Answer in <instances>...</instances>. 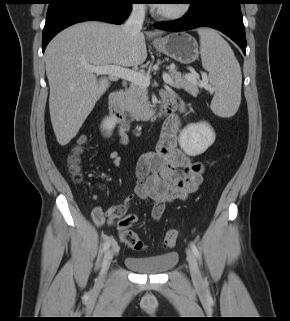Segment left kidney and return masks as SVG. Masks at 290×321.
I'll return each instance as SVG.
<instances>
[{"mask_svg":"<svg viewBox=\"0 0 290 321\" xmlns=\"http://www.w3.org/2000/svg\"><path fill=\"white\" fill-rule=\"evenodd\" d=\"M215 133L208 123L187 125L179 135V145L190 156L204 153L215 141Z\"/></svg>","mask_w":290,"mask_h":321,"instance_id":"obj_1","label":"left kidney"}]
</instances>
